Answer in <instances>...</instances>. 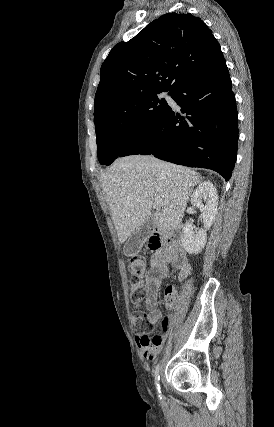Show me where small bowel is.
<instances>
[{"label": "small bowel", "mask_w": 274, "mask_h": 427, "mask_svg": "<svg viewBox=\"0 0 274 427\" xmlns=\"http://www.w3.org/2000/svg\"><path fill=\"white\" fill-rule=\"evenodd\" d=\"M171 269L177 271L179 281H184L192 271V264L188 260L184 246L179 247L174 241L171 244L161 245L155 248L150 257V269L144 275L145 297L144 306L148 318L155 323L161 320V333L150 338L148 335L137 336L141 354L145 360L151 361L159 354L169 332L174 326V317L161 316L157 309V297L162 280L166 279ZM174 306L173 292H166L165 307L171 309Z\"/></svg>", "instance_id": "obj_1"}]
</instances>
